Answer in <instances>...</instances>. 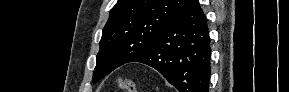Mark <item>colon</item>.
Wrapping results in <instances>:
<instances>
[{"label":"colon","instance_id":"1","mask_svg":"<svg viewBox=\"0 0 289 92\" xmlns=\"http://www.w3.org/2000/svg\"><path fill=\"white\" fill-rule=\"evenodd\" d=\"M118 87L125 92H137V86L135 82L130 79L118 81Z\"/></svg>","mask_w":289,"mask_h":92}]
</instances>
